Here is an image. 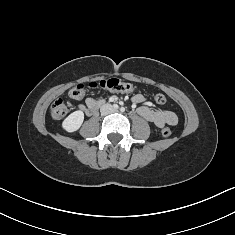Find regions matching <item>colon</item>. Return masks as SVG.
<instances>
[{"instance_id":"1","label":"colon","mask_w":235,"mask_h":235,"mask_svg":"<svg viewBox=\"0 0 235 235\" xmlns=\"http://www.w3.org/2000/svg\"><path fill=\"white\" fill-rule=\"evenodd\" d=\"M86 89L131 93L135 90V86L118 78H108L93 81L88 83L87 85L78 84L70 90L69 96L73 99H81L85 95ZM154 100L157 104L160 105L165 104L167 101L166 97L163 94L155 95ZM68 109V104L63 99H58L51 106V115L54 119H62L67 115ZM161 133L163 137L167 138L171 136L172 131L170 128H164Z\"/></svg>"}]
</instances>
